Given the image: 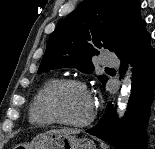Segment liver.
I'll return each mask as SVG.
<instances>
[{"label":"liver","mask_w":155,"mask_h":149,"mask_svg":"<svg viewBox=\"0 0 155 149\" xmlns=\"http://www.w3.org/2000/svg\"><path fill=\"white\" fill-rule=\"evenodd\" d=\"M50 132H57V133H65V134L76 135V134L80 133V130L65 128V129H60V130H52Z\"/></svg>","instance_id":"1"}]
</instances>
